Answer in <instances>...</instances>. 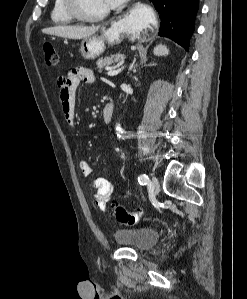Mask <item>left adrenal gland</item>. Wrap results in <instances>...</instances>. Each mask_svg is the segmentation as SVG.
<instances>
[{
    "label": "left adrenal gland",
    "instance_id": "a2214340",
    "mask_svg": "<svg viewBox=\"0 0 247 299\" xmlns=\"http://www.w3.org/2000/svg\"><path fill=\"white\" fill-rule=\"evenodd\" d=\"M154 65H156L155 63H150L148 66H154ZM138 67V64H132L131 65V67H130V69L131 70H133V71H135V69Z\"/></svg>",
    "mask_w": 247,
    "mask_h": 299
}]
</instances>
